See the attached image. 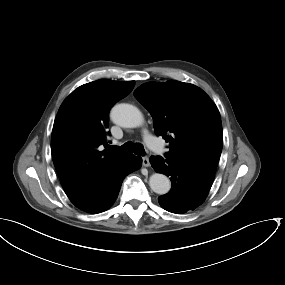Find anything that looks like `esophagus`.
<instances>
[{"mask_svg":"<svg viewBox=\"0 0 285 285\" xmlns=\"http://www.w3.org/2000/svg\"><path fill=\"white\" fill-rule=\"evenodd\" d=\"M142 164L144 167H149L150 166V162H149V158L148 157H143L142 158Z\"/></svg>","mask_w":285,"mask_h":285,"instance_id":"obj_1","label":"esophagus"}]
</instances>
